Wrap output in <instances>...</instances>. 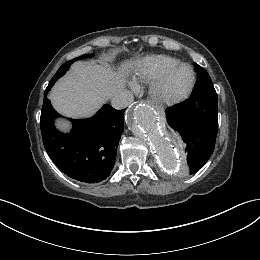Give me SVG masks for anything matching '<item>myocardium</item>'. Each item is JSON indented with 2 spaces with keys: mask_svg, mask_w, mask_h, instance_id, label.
<instances>
[{
  "mask_svg": "<svg viewBox=\"0 0 260 260\" xmlns=\"http://www.w3.org/2000/svg\"><path fill=\"white\" fill-rule=\"evenodd\" d=\"M180 67H187L191 72V78L189 83L180 91L175 93H170L166 90V85L169 77L172 73ZM195 82V72L193 67L185 62H178L168 69H166L163 73H161L153 82L150 94L153 99L161 103H174L182 100L192 89Z\"/></svg>",
  "mask_w": 260,
  "mask_h": 260,
  "instance_id": "obj_1",
  "label": "myocardium"
}]
</instances>
